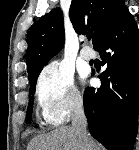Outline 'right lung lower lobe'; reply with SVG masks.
<instances>
[{"label":"right lung lower lobe","instance_id":"obj_1","mask_svg":"<svg viewBox=\"0 0 139 150\" xmlns=\"http://www.w3.org/2000/svg\"><path fill=\"white\" fill-rule=\"evenodd\" d=\"M107 69L84 92L91 135L107 150H132L139 113V30L127 10L95 47Z\"/></svg>","mask_w":139,"mask_h":150}]
</instances>
